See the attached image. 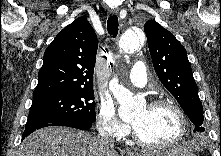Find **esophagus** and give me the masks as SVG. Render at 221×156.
Here are the masks:
<instances>
[{
	"label": "esophagus",
	"mask_w": 221,
	"mask_h": 156,
	"mask_svg": "<svg viewBox=\"0 0 221 156\" xmlns=\"http://www.w3.org/2000/svg\"><path fill=\"white\" fill-rule=\"evenodd\" d=\"M117 12H118L117 9H114V10L111 11L112 14H117ZM130 156H133V155L130 154Z\"/></svg>",
	"instance_id": "34e87169"
}]
</instances>
